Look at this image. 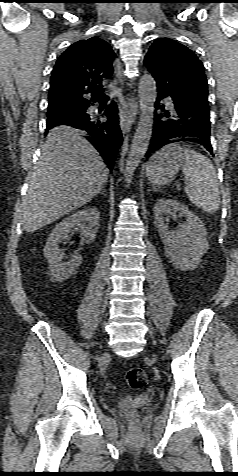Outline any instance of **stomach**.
Listing matches in <instances>:
<instances>
[{"instance_id": "obj_1", "label": "stomach", "mask_w": 238, "mask_h": 476, "mask_svg": "<svg viewBox=\"0 0 238 476\" xmlns=\"http://www.w3.org/2000/svg\"><path fill=\"white\" fill-rule=\"evenodd\" d=\"M184 164V155L178 144H170L156 152L146 166L148 180L157 186L166 185Z\"/></svg>"}]
</instances>
